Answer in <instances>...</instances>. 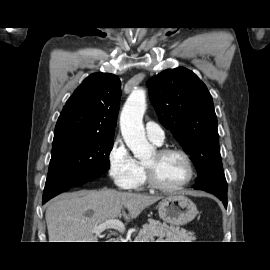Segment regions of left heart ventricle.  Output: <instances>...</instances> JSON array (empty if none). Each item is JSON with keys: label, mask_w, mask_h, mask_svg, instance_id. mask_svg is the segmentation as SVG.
Segmentation results:
<instances>
[{"label": "left heart ventricle", "mask_w": 270, "mask_h": 270, "mask_svg": "<svg viewBox=\"0 0 270 270\" xmlns=\"http://www.w3.org/2000/svg\"><path fill=\"white\" fill-rule=\"evenodd\" d=\"M153 171L155 179L164 186H175L187 176V167L178 154L157 155L153 152L144 162Z\"/></svg>", "instance_id": "1"}]
</instances>
